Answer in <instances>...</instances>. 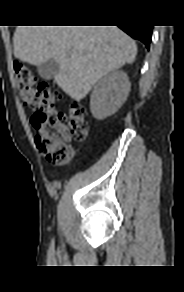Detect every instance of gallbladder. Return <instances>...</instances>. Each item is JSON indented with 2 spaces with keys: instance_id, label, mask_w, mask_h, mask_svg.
<instances>
[{
  "instance_id": "bac80fb5",
  "label": "gallbladder",
  "mask_w": 184,
  "mask_h": 292,
  "mask_svg": "<svg viewBox=\"0 0 184 292\" xmlns=\"http://www.w3.org/2000/svg\"><path fill=\"white\" fill-rule=\"evenodd\" d=\"M59 64L54 60H49L37 67L39 76L45 80L54 78L59 72Z\"/></svg>"
}]
</instances>
